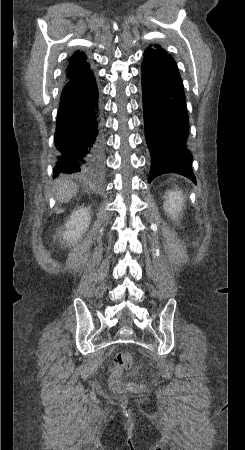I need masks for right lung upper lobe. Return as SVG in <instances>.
<instances>
[{
  "label": "right lung upper lobe",
  "instance_id": "obj_1",
  "mask_svg": "<svg viewBox=\"0 0 245 450\" xmlns=\"http://www.w3.org/2000/svg\"><path fill=\"white\" fill-rule=\"evenodd\" d=\"M86 55L82 52H76L71 57V63L66 71V80H69L89 67V63L86 61Z\"/></svg>",
  "mask_w": 245,
  "mask_h": 450
}]
</instances>
